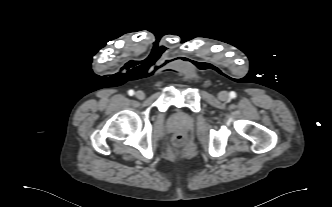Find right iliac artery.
<instances>
[{
    "label": "right iliac artery",
    "mask_w": 332,
    "mask_h": 207,
    "mask_svg": "<svg viewBox=\"0 0 332 207\" xmlns=\"http://www.w3.org/2000/svg\"><path fill=\"white\" fill-rule=\"evenodd\" d=\"M128 94H129V96H133L134 95V91L133 90H129Z\"/></svg>",
    "instance_id": "right-iliac-artery-1"
}]
</instances>
